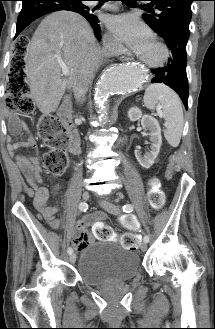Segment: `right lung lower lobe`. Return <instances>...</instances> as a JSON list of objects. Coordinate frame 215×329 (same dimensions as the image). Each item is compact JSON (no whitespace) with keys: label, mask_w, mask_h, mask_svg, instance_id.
I'll return each mask as SVG.
<instances>
[{"label":"right lung lower lobe","mask_w":215,"mask_h":329,"mask_svg":"<svg viewBox=\"0 0 215 329\" xmlns=\"http://www.w3.org/2000/svg\"><path fill=\"white\" fill-rule=\"evenodd\" d=\"M83 0H22V10L17 20V37L35 19L60 10L79 13L92 26L95 36L100 38L99 20L92 14V10L82 3ZM16 68L21 69L20 61H15Z\"/></svg>","instance_id":"obj_1"}]
</instances>
